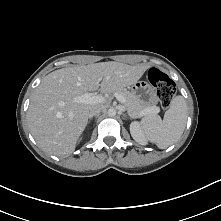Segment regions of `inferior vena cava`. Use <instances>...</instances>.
Listing matches in <instances>:
<instances>
[{"mask_svg": "<svg viewBox=\"0 0 221 221\" xmlns=\"http://www.w3.org/2000/svg\"><path fill=\"white\" fill-rule=\"evenodd\" d=\"M103 110L102 107H96L92 111L89 112V118L98 115Z\"/></svg>", "mask_w": 221, "mask_h": 221, "instance_id": "602c4592", "label": "inferior vena cava"}]
</instances>
